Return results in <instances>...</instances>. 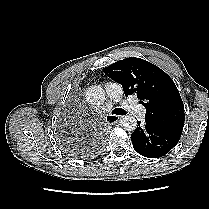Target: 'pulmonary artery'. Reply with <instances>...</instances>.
<instances>
[{
	"mask_svg": "<svg viewBox=\"0 0 209 209\" xmlns=\"http://www.w3.org/2000/svg\"><path fill=\"white\" fill-rule=\"evenodd\" d=\"M105 90L108 100L103 106L100 107V112L110 110L114 103H120L123 108L136 117H144L145 108L131 100L123 99V91L120 85L114 82H109L105 85Z\"/></svg>",
	"mask_w": 209,
	"mask_h": 209,
	"instance_id": "1",
	"label": "pulmonary artery"
}]
</instances>
